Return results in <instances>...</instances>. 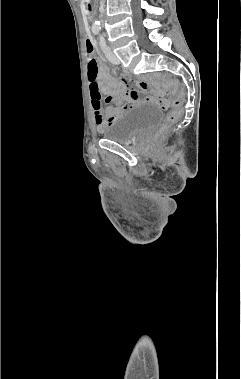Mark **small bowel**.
<instances>
[{
	"label": "small bowel",
	"mask_w": 241,
	"mask_h": 379,
	"mask_svg": "<svg viewBox=\"0 0 241 379\" xmlns=\"http://www.w3.org/2000/svg\"><path fill=\"white\" fill-rule=\"evenodd\" d=\"M97 78L99 88L101 85L106 89V92H103L102 89H90L94 122L98 130H102L112 123L121 112L128 109L132 104L137 102L153 103L159 99L154 94L141 98V92L147 88L144 81L128 80L125 85L112 78L103 66L100 67ZM104 105L106 106L104 107Z\"/></svg>",
	"instance_id": "small-bowel-1"
}]
</instances>
